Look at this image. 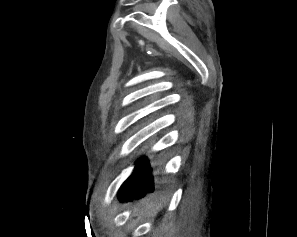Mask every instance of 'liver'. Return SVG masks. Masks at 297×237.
I'll return each instance as SVG.
<instances>
[{
    "mask_svg": "<svg viewBox=\"0 0 297 237\" xmlns=\"http://www.w3.org/2000/svg\"><path fill=\"white\" fill-rule=\"evenodd\" d=\"M142 210L144 212L145 215L147 216H153L154 215V205L153 203H147L145 201L142 202Z\"/></svg>",
    "mask_w": 297,
    "mask_h": 237,
    "instance_id": "6515ba94",
    "label": "liver"
}]
</instances>
